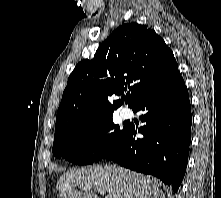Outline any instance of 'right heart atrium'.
<instances>
[{
  "label": "right heart atrium",
  "mask_w": 221,
  "mask_h": 198,
  "mask_svg": "<svg viewBox=\"0 0 221 198\" xmlns=\"http://www.w3.org/2000/svg\"><path fill=\"white\" fill-rule=\"evenodd\" d=\"M102 138V133L101 132H95L91 136V142L92 143H98Z\"/></svg>",
  "instance_id": "d8ad5b80"
}]
</instances>
